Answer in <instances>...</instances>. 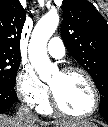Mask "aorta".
I'll use <instances>...</instances> for the list:
<instances>
[{"mask_svg":"<svg viewBox=\"0 0 108 127\" xmlns=\"http://www.w3.org/2000/svg\"><path fill=\"white\" fill-rule=\"evenodd\" d=\"M58 24L59 15L57 12H48L38 21L31 35L28 47L29 60L43 81H47L54 70L47 54V42L57 29Z\"/></svg>","mask_w":108,"mask_h":127,"instance_id":"obj_1","label":"aorta"}]
</instances>
